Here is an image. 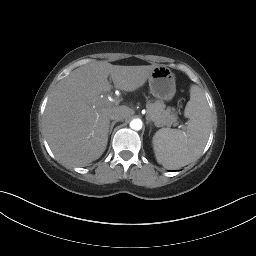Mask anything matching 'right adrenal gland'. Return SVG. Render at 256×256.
Here are the masks:
<instances>
[{
	"label": "right adrenal gland",
	"instance_id": "1",
	"mask_svg": "<svg viewBox=\"0 0 256 256\" xmlns=\"http://www.w3.org/2000/svg\"><path fill=\"white\" fill-rule=\"evenodd\" d=\"M117 123V121H113L111 124H110V128H109V135L111 134L113 128H114V125Z\"/></svg>",
	"mask_w": 256,
	"mask_h": 256
}]
</instances>
